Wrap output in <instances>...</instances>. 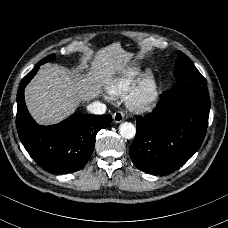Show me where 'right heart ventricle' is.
I'll return each instance as SVG.
<instances>
[{"instance_id": "e07e8e85", "label": "right heart ventricle", "mask_w": 228, "mask_h": 228, "mask_svg": "<svg viewBox=\"0 0 228 228\" xmlns=\"http://www.w3.org/2000/svg\"><path fill=\"white\" fill-rule=\"evenodd\" d=\"M143 69L140 66H130L109 86V94L112 97L124 95L132 90L143 75Z\"/></svg>"}]
</instances>
